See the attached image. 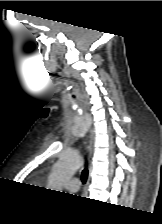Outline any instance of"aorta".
I'll return each instance as SVG.
<instances>
[{
  "mask_svg": "<svg viewBox=\"0 0 162 224\" xmlns=\"http://www.w3.org/2000/svg\"><path fill=\"white\" fill-rule=\"evenodd\" d=\"M82 164L78 154H66L60 157L54 165L48 187L51 190H61L64 181L70 179Z\"/></svg>",
  "mask_w": 162,
  "mask_h": 224,
  "instance_id": "762f6f07",
  "label": "aorta"
}]
</instances>
